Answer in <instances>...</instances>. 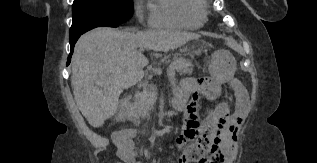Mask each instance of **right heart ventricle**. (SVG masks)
<instances>
[{
	"instance_id": "right-heart-ventricle-1",
	"label": "right heart ventricle",
	"mask_w": 317,
	"mask_h": 163,
	"mask_svg": "<svg viewBox=\"0 0 317 163\" xmlns=\"http://www.w3.org/2000/svg\"><path fill=\"white\" fill-rule=\"evenodd\" d=\"M153 28L195 30L206 21L204 0H150Z\"/></svg>"
}]
</instances>
